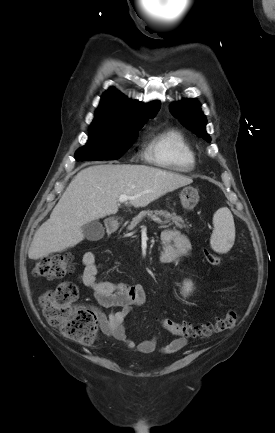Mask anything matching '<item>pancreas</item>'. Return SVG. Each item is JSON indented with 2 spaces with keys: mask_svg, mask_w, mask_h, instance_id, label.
Here are the masks:
<instances>
[{
  "mask_svg": "<svg viewBox=\"0 0 275 433\" xmlns=\"http://www.w3.org/2000/svg\"><path fill=\"white\" fill-rule=\"evenodd\" d=\"M152 214L163 217L165 223H169L170 225L174 224L176 227L180 229L189 228V226L185 223L183 218L176 215L175 213H169L167 211H162V210H154V211L147 210V211H142L137 216H135L130 222V224L127 226V230L128 231L133 230L137 226V224L142 221V219L145 216H151Z\"/></svg>",
  "mask_w": 275,
  "mask_h": 433,
  "instance_id": "obj_1",
  "label": "pancreas"
}]
</instances>
